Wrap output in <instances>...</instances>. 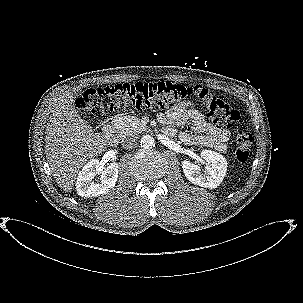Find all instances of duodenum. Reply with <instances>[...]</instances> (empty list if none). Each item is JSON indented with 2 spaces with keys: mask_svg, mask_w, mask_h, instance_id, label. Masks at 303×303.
Wrapping results in <instances>:
<instances>
[{
  "mask_svg": "<svg viewBox=\"0 0 303 303\" xmlns=\"http://www.w3.org/2000/svg\"><path fill=\"white\" fill-rule=\"evenodd\" d=\"M106 140L110 145H114L117 142L118 136L113 129H111V128L107 129Z\"/></svg>",
  "mask_w": 303,
  "mask_h": 303,
  "instance_id": "1",
  "label": "duodenum"
}]
</instances>
